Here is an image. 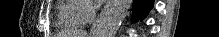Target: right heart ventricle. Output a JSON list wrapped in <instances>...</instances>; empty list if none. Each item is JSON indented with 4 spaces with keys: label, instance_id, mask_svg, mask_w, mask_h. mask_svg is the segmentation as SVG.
Returning <instances> with one entry per match:
<instances>
[{
    "label": "right heart ventricle",
    "instance_id": "1",
    "mask_svg": "<svg viewBox=\"0 0 219 37\" xmlns=\"http://www.w3.org/2000/svg\"><path fill=\"white\" fill-rule=\"evenodd\" d=\"M82 8L78 1L61 3L58 8V25L62 28H78L83 25L80 18Z\"/></svg>",
    "mask_w": 219,
    "mask_h": 37
}]
</instances>
